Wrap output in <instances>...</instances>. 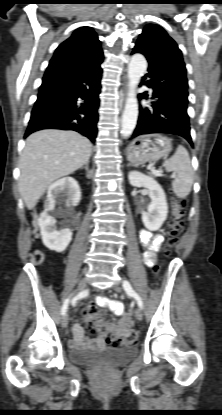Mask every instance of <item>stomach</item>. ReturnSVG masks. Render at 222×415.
<instances>
[{
    "label": "stomach",
    "mask_w": 222,
    "mask_h": 415,
    "mask_svg": "<svg viewBox=\"0 0 222 415\" xmlns=\"http://www.w3.org/2000/svg\"><path fill=\"white\" fill-rule=\"evenodd\" d=\"M171 150L169 137L153 133L135 138L128 148L127 157L134 165H142L167 156Z\"/></svg>",
    "instance_id": "stomach-1"
}]
</instances>
